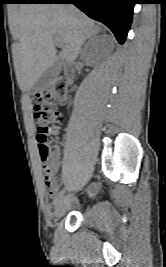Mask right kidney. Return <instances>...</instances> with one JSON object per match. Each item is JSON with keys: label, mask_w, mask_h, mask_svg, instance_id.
<instances>
[{"label": "right kidney", "mask_w": 166, "mask_h": 267, "mask_svg": "<svg viewBox=\"0 0 166 267\" xmlns=\"http://www.w3.org/2000/svg\"><path fill=\"white\" fill-rule=\"evenodd\" d=\"M99 43L94 42L93 39H91V42L89 43L88 47L85 50V55L87 57H94L96 54V51L98 50Z\"/></svg>", "instance_id": "obj_1"}]
</instances>
